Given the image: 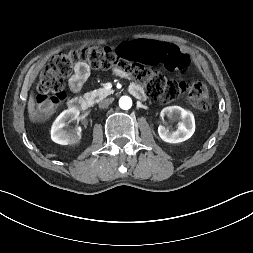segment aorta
<instances>
[{
  "label": "aorta",
  "mask_w": 253,
  "mask_h": 253,
  "mask_svg": "<svg viewBox=\"0 0 253 253\" xmlns=\"http://www.w3.org/2000/svg\"><path fill=\"white\" fill-rule=\"evenodd\" d=\"M119 106L121 109L128 110L132 106V100L128 96H122L119 100Z\"/></svg>",
  "instance_id": "1"
}]
</instances>
